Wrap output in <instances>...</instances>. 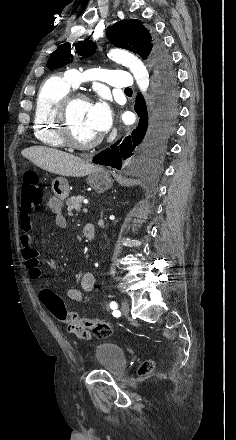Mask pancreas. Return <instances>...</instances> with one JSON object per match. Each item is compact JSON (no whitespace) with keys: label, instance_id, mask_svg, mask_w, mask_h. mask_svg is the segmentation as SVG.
I'll return each mask as SVG.
<instances>
[{"label":"pancreas","instance_id":"obj_1","mask_svg":"<svg viewBox=\"0 0 236 440\" xmlns=\"http://www.w3.org/2000/svg\"><path fill=\"white\" fill-rule=\"evenodd\" d=\"M83 200H84V196L81 195L73 196L67 199L65 203L67 205L68 214L72 215L73 210L79 211L82 206Z\"/></svg>","mask_w":236,"mask_h":440}]
</instances>
